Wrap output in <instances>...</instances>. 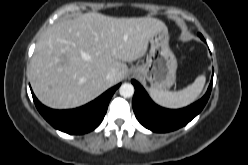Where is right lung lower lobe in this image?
Listing matches in <instances>:
<instances>
[{"mask_svg":"<svg viewBox=\"0 0 248 165\" xmlns=\"http://www.w3.org/2000/svg\"><path fill=\"white\" fill-rule=\"evenodd\" d=\"M120 84L109 89L94 101L71 110H53L42 105L32 92L40 114L56 129L68 134H84L94 130L103 120L109 101Z\"/></svg>","mask_w":248,"mask_h":165,"instance_id":"obj_1","label":"right lung lower lobe"}]
</instances>
